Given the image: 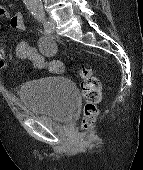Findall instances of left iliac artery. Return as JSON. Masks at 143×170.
<instances>
[{"mask_svg":"<svg viewBox=\"0 0 143 170\" xmlns=\"http://www.w3.org/2000/svg\"><path fill=\"white\" fill-rule=\"evenodd\" d=\"M36 17H37V19H38L39 21H41V22L44 24V27L47 26V21H46V19H45L44 14H38Z\"/></svg>","mask_w":143,"mask_h":170,"instance_id":"1","label":"left iliac artery"}]
</instances>
